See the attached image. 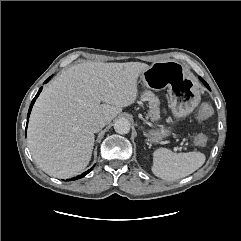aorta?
<instances>
[{"instance_id":"762f6f07","label":"aorta","mask_w":241,"mask_h":241,"mask_svg":"<svg viewBox=\"0 0 241 241\" xmlns=\"http://www.w3.org/2000/svg\"><path fill=\"white\" fill-rule=\"evenodd\" d=\"M114 129L118 134H127L130 131V122L127 119L120 118L116 120Z\"/></svg>"}]
</instances>
